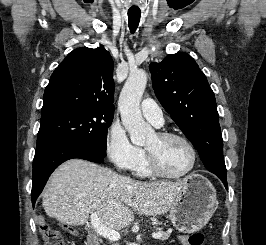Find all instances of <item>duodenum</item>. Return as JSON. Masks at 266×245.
<instances>
[{
    "label": "duodenum",
    "instance_id": "1",
    "mask_svg": "<svg viewBox=\"0 0 266 245\" xmlns=\"http://www.w3.org/2000/svg\"><path fill=\"white\" fill-rule=\"evenodd\" d=\"M88 245H101L97 235L93 234L89 237Z\"/></svg>",
    "mask_w": 266,
    "mask_h": 245
}]
</instances>
